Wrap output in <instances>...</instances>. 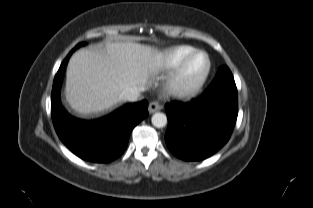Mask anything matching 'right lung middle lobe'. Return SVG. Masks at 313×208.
<instances>
[{"label": "right lung middle lobe", "instance_id": "1", "mask_svg": "<svg viewBox=\"0 0 313 208\" xmlns=\"http://www.w3.org/2000/svg\"><path fill=\"white\" fill-rule=\"evenodd\" d=\"M82 45V43L78 44L73 50L77 49L78 47H80Z\"/></svg>", "mask_w": 313, "mask_h": 208}]
</instances>
